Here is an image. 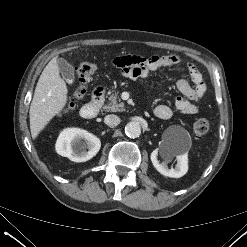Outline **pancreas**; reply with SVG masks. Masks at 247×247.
Returning <instances> with one entry per match:
<instances>
[{
  "mask_svg": "<svg viewBox=\"0 0 247 247\" xmlns=\"http://www.w3.org/2000/svg\"><path fill=\"white\" fill-rule=\"evenodd\" d=\"M103 109L107 112H122L125 110L124 103L121 102V99L119 98L118 92L114 91V93H111L108 98V103L103 106Z\"/></svg>",
  "mask_w": 247,
  "mask_h": 247,
  "instance_id": "cf45deb5",
  "label": "pancreas"
}]
</instances>
